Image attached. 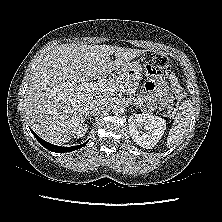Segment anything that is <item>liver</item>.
I'll use <instances>...</instances> for the list:
<instances>
[{"label": "liver", "mask_w": 222, "mask_h": 222, "mask_svg": "<svg viewBox=\"0 0 222 222\" xmlns=\"http://www.w3.org/2000/svg\"><path fill=\"white\" fill-rule=\"evenodd\" d=\"M115 54L114 61L110 56ZM144 50L112 45L63 44L37 65L24 100L28 122L42 139L63 144L75 136L89 112V103L102 91L82 87L84 82L114 72L120 74Z\"/></svg>", "instance_id": "liver-1"}]
</instances>
